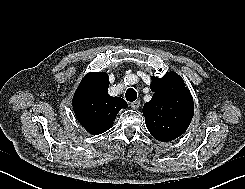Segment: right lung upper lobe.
I'll return each mask as SVG.
<instances>
[{
	"instance_id": "obj_1",
	"label": "right lung upper lobe",
	"mask_w": 245,
	"mask_h": 189,
	"mask_svg": "<svg viewBox=\"0 0 245 189\" xmlns=\"http://www.w3.org/2000/svg\"><path fill=\"white\" fill-rule=\"evenodd\" d=\"M107 73H88L78 86L73 97V110L80 124L91 134L98 135L109 130L122 108L127 103L121 97L107 93Z\"/></svg>"
}]
</instances>
